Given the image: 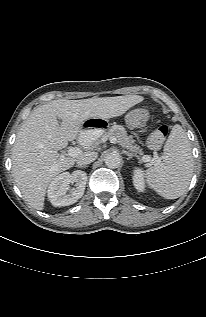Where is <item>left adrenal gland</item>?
<instances>
[{"label":"left adrenal gland","mask_w":206,"mask_h":317,"mask_svg":"<svg viewBox=\"0 0 206 317\" xmlns=\"http://www.w3.org/2000/svg\"><path fill=\"white\" fill-rule=\"evenodd\" d=\"M123 153L128 156L127 160H130L134 156L132 153H129L127 151H123Z\"/></svg>","instance_id":"left-adrenal-gland-1"}]
</instances>
